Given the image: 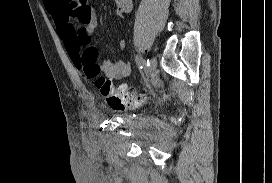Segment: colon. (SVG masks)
<instances>
[{
  "mask_svg": "<svg viewBox=\"0 0 272 183\" xmlns=\"http://www.w3.org/2000/svg\"><path fill=\"white\" fill-rule=\"evenodd\" d=\"M97 49L88 45L83 49L80 69L92 81L99 93L106 99L108 105L114 110H125L139 107L144 101L143 94H136L127 88L116 87L111 80L102 74L97 63Z\"/></svg>",
  "mask_w": 272,
  "mask_h": 183,
  "instance_id": "obj_1",
  "label": "colon"
}]
</instances>
